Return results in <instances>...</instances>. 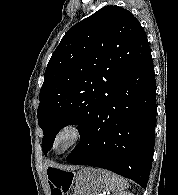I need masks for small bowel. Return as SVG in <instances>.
<instances>
[{
  "label": "small bowel",
  "instance_id": "small-bowel-1",
  "mask_svg": "<svg viewBox=\"0 0 178 195\" xmlns=\"http://www.w3.org/2000/svg\"><path fill=\"white\" fill-rule=\"evenodd\" d=\"M52 195H62L61 193H59V192H55V191H53L52 192Z\"/></svg>",
  "mask_w": 178,
  "mask_h": 195
}]
</instances>
